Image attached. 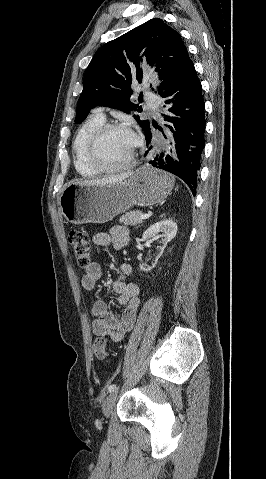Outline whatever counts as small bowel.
Instances as JSON below:
<instances>
[{
    "instance_id": "small-bowel-1",
    "label": "small bowel",
    "mask_w": 266,
    "mask_h": 479,
    "mask_svg": "<svg viewBox=\"0 0 266 479\" xmlns=\"http://www.w3.org/2000/svg\"><path fill=\"white\" fill-rule=\"evenodd\" d=\"M128 243V229L123 226L112 228L109 233L98 232L93 236L96 248L112 245L115 249H122ZM132 273V266L123 263L119 267L118 277L112 283V289L117 295L116 301L122 307L121 312H112L103 300H96L91 305V313L95 317L92 321V331L97 336H109L112 341H121L125 334L132 330L136 321L137 309L140 305V289L137 284L128 282ZM102 277V268L94 262L86 268L81 279L82 287L91 291Z\"/></svg>"
}]
</instances>
